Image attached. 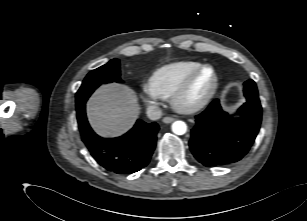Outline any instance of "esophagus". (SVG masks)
Listing matches in <instances>:
<instances>
[{"mask_svg":"<svg viewBox=\"0 0 307 221\" xmlns=\"http://www.w3.org/2000/svg\"><path fill=\"white\" fill-rule=\"evenodd\" d=\"M174 120H175V118H173V117H164V118L162 119V121H163L164 123H166V124L171 123V122H173Z\"/></svg>","mask_w":307,"mask_h":221,"instance_id":"obj_1","label":"esophagus"}]
</instances>
